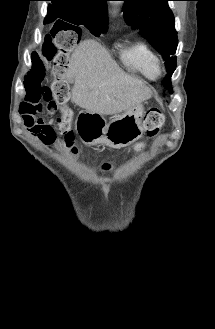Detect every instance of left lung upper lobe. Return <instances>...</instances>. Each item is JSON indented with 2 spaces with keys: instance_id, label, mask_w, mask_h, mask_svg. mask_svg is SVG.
<instances>
[{
  "instance_id": "5c2ea615",
  "label": "left lung upper lobe",
  "mask_w": 215,
  "mask_h": 329,
  "mask_svg": "<svg viewBox=\"0 0 215 329\" xmlns=\"http://www.w3.org/2000/svg\"><path fill=\"white\" fill-rule=\"evenodd\" d=\"M122 1L125 2V21L133 28H139L141 35L162 55L168 72L163 84L171 90V75L176 69L174 54L178 39L174 16L167 3L170 0Z\"/></svg>"
}]
</instances>
